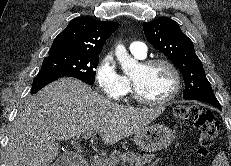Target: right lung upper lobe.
Listing matches in <instances>:
<instances>
[{"instance_id": "obj_1", "label": "right lung upper lobe", "mask_w": 231, "mask_h": 166, "mask_svg": "<svg viewBox=\"0 0 231 166\" xmlns=\"http://www.w3.org/2000/svg\"><path fill=\"white\" fill-rule=\"evenodd\" d=\"M119 27L112 21H99L90 17H78L55 38L49 52L68 51L99 55L103 45Z\"/></svg>"}]
</instances>
